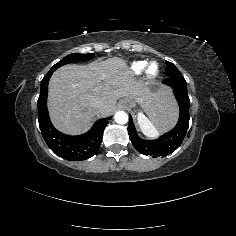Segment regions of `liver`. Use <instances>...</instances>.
<instances>
[{
  "label": "liver",
  "instance_id": "6515ba94",
  "mask_svg": "<svg viewBox=\"0 0 236 236\" xmlns=\"http://www.w3.org/2000/svg\"><path fill=\"white\" fill-rule=\"evenodd\" d=\"M121 97L134 99L159 125L168 126V121L174 120L176 102L148 92L143 83L128 74L127 63L118 57L57 69L49 81L50 118L61 132L81 134L95 117L111 115ZM96 101L101 102L98 109L91 107Z\"/></svg>",
  "mask_w": 236,
  "mask_h": 236
}]
</instances>
